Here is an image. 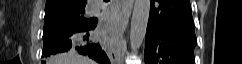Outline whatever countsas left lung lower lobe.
I'll return each instance as SVG.
<instances>
[{
	"label": "left lung lower lobe",
	"instance_id": "0a47b994",
	"mask_svg": "<svg viewBox=\"0 0 242 64\" xmlns=\"http://www.w3.org/2000/svg\"><path fill=\"white\" fill-rule=\"evenodd\" d=\"M145 64H193L197 44L189 0H151Z\"/></svg>",
	"mask_w": 242,
	"mask_h": 64
}]
</instances>
